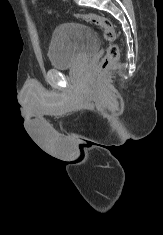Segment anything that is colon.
Here are the masks:
<instances>
[{
	"label": "colon",
	"mask_w": 163,
	"mask_h": 235,
	"mask_svg": "<svg viewBox=\"0 0 163 235\" xmlns=\"http://www.w3.org/2000/svg\"><path fill=\"white\" fill-rule=\"evenodd\" d=\"M75 17L98 27L102 31L104 38L109 42L106 54L98 67L99 74L106 73L107 70L117 62L119 57V49L115 44L117 35L113 24L109 20L95 15L77 13Z\"/></svg>",
	"instance_id": "1"
}]
</instances>
